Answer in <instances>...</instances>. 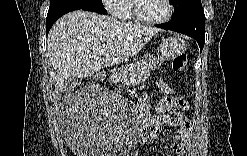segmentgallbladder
I'll return each mask as SVG.
<instances>
[{
    "instance_id": "bac80fb5",
    "label": "gallbladder",
    "mask_w": 247,
    "mask_h": 156,
    "mask_svg": "<svg viewBox=\"0 0 247 156\" xmlns=\"http://www.w3.org/2000/svg\"><path fill=\"white\" fill-rule=\"evenodd\" d=\"M78 84L77 77H70L68 80H66L63 84V93H68L70 90H72L76 85Z\"/></svg>"
}]
</instances>
